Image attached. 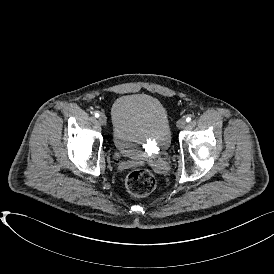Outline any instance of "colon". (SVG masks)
Instances as JSON below:
<instances>
[{
	"mask_svg": "<svg viewBox=\"0 0 274 274\" xmlns=\"http://www.w3.org/2000/svg\"><path fill=\"white\" fill-rule=\"evenodd\" d=\"M125 185L132 195L144 197L155 190L157 179L150 171L139 169L128 174Z\"/></svg>",
	"mask_w": 274,
	"mask_h": 274,
	"instance_id": "colon-1",
	"label": "colon"
}]
</instances>
